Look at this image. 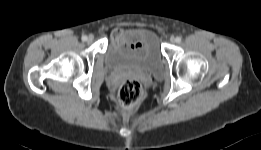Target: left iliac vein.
Returning a JSON list of instances; mask_svg holds the SVG:
<instances>
[{"instance_id": "obj_1", "label": "left iliac vein", "mask_w": 261, "mask_h": 150, "mask_svg": "<svg viewBox=\"0 0 261 150\" xmlns=\"http://www.w3.org/2000/svg\"><path fill=\"white\" fill-rule=\"evenodd\" d=\"M170 42L171 43H175L176 42V40H175V38L173 36L170 38Z\"/></svg>"}]
</instances>
